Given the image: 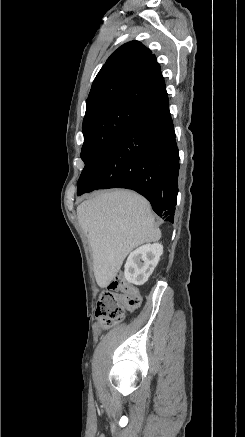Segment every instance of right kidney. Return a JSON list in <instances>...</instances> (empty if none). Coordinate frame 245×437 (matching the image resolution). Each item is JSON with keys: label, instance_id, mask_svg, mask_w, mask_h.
Masks as SVG:
<instances>
[{"label": "right kidney", "instance_id": "ca27d5eb", "mask_svg": "<svg viewBox=\"0 0 245 437\" xmlns=\"http://www.w3.org/2000/svg\"><path fill=\"white\" fill-rule=\"evenodd\" d=\"M162 254L163 246L158 243L143 245L131 252L124 267L125 279L135 285H143L153 273Z\"/></svg>", "mask_w": 245, "mask_h": 437}]
</instances>
